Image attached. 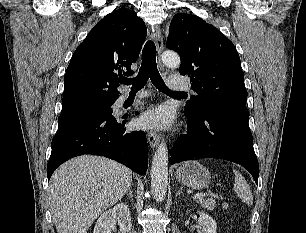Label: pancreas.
Wrapping results in <instances>:
<instances>
[{
    "mask_svg": "<svg viewBox=\"0 0 306 233\" xmlns=\"http://www.w3.org/2000/svg\"><path fill=\"white\" fill-rule=\"evenodd\" d=\"M197 203H199L201 206L208 210H214V208L216 207V201L212 198L201 197L197 200Z\"/></svg>",
    "mask_w": 306,
    "mask_h": 233,
    "instance_id": "pancreas-1",
    "label": "pancreas"
}]
</instances>
